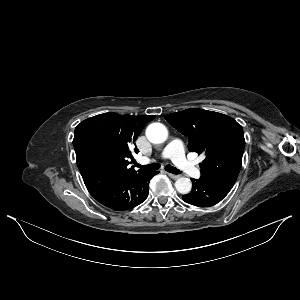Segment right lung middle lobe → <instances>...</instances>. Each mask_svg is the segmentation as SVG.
I'll return each instance as SVG.
<instances>
[{
	"instance_id": "obj_1",
	"label": "right lung middle lobe",
	"mask_w": 300,
	"mask_h": 300,
	"mask_svg": "<svg viewBox=\"0 0 300 300\" xmlns=\"http://www.w3.org/2000/svg\"><path fill=\"white\" fill-rule=\"evenodd\" d=\"M77 165L87 189L101 186L105 181V167L90 147L87 139L80 142L79 154L76 156Z\"/></svg>"
}]
</instances>
